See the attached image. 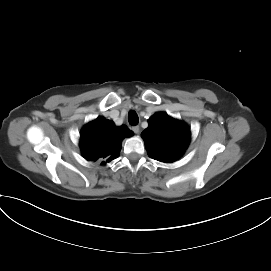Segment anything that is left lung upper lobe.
<instances>
[{
	"label": "left lung upper lobe",
	"instance_id": "obj_1",
	"mask_svg": "<svg viewBox=\"0 0 271 271\" xmlns=\"http://www.w3.org/2000/svg\"><path fill=\"white\" fill-rule=\"evenodd\" d=\"M148 122L149 127L141 134L148 155L166 163L178 159L189 145L190 128L162 112L154 114Z\"/></svg>",
	"mask_w": 271,
	"mask_h": 271
}]
</instances>
